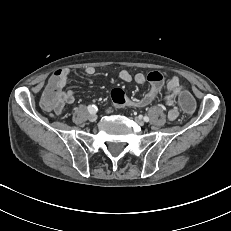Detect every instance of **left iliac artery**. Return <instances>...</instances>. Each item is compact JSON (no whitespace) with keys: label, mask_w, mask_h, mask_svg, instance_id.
<instances>
[{"label":"left iliac artery","mask_w":231,"mask_h":231,"mask_svg":"<svg viewBox=\"0 0 231 231\" xmlns=\"http://www.w3.org/2000/svg\"><path fill=\"white\" fill-rule=\"evenodd\" d=\"M143 119H144L145 122H149V117L148 116H145Z\"/></svg>","instance_id":"left-iliac-artery-1"}]
</instances>
